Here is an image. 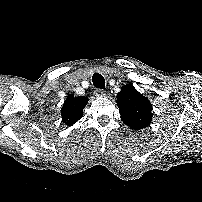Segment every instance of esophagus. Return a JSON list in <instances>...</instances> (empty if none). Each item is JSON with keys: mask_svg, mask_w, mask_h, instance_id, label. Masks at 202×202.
<instances>
[{"mask_svg": "<svg viewBox=\"0 0 202 202\" xmlns=\"http://www.w3.org/2000/svg\"><path fill=\"white\" fill-rule=\"evenodd\" d=\"M94 94L97 97H102V96L106 95V92L104 90H102V89H95Z\"/></svg>", "mask_w": 202, "mask_h": 202, "instance_id": "34e87169", "label": "esophagus"}]
</instances>
